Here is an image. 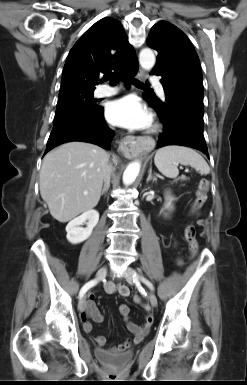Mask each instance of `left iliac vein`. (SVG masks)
<instances>
[{"label": "left iliac vein", "mask_w": 247, "mask_h": 385, "mask_svg": "<svg viewBox=\"0 0 247 385\" xmlns=\"http://www.w3.org/2000/svg\"><path fill=\"white\" fill-rule=\"evenodd\" d=\"M135 276H136V271L131 267H127L125 270V279L127 280V282L133 283ZM148 299H149L150 304L153 307L157 306V297L153 292H151V291L149 292Z\"/></svg>", "instance_id": "1"}]
</instances>
